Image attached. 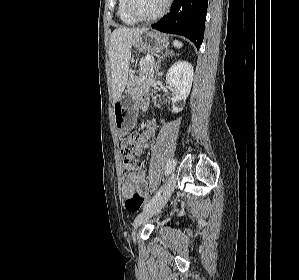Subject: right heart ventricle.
<instances>
[{"instance_id": "e07e8e85", "label": "right heart ventricle", "mask_w": 299, "mask_h": 280, "mask_svg": "<svg viewBox=\"0 0 299 280\" xmlns=\"http://www.w3.org/2000/svg\"><path fill=\"white\" fill-rule=\"evenodd\" d=\"M117 14L121 22L125 25H135L137 21L134 20L127 11V0H118Z\"/></svg>"}]
</instances>
